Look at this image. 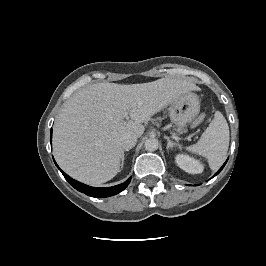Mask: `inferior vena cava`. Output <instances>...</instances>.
<instances>
[{
    "label": "inferior vena cava",
    "mask_w": 266,
    "mask_h": 266,
    "mask_svg": "<svg viewBox=\"0 0 266 266\" xmlns=\"http://www.w3.org/2000/svg\"><path fill=\"white\" fill-rule=\"evenodd\" d=\"M137 135L135 134H125L121 138V146L124 150H129L133 148L137 143Z\"/></svg>",
    "instance_id": "602c4592"
}]
</instances>
